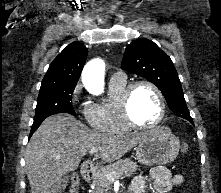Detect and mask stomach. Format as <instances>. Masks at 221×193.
I'll return each mask as SVG.
<instances>
[{
	"instance_id": "obj_1",
	"label": "stomach",
	"mask_w": 221,
	"mask_h": 193,
	"mask_svg": "<svg viewBox=\"0 0 221 193\" xmlns=\"http://www.w3.org/2000/svg\"><path fill=\"white\" fill-rule=\"evenodd\" d=\"M180 141L168 128H159L136 147L137 160L147 166L165 165L178 155Z\"/></svg>"
}]
</instances>
